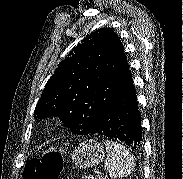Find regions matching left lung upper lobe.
<instances>
[{"label": "left lung upper lobe", "instance_id": "left-lung-upper-lobe-1", "mask_svg": "<svg viewBox=\"0 0 183 179\" xmlns=\"http://www.w3.org/2000/svg\"><path fill=\"white\" fill-rule=\"evenodd\" d=\"M123 62V45L112 29L90 33L60 62L35 115L58 116L72 133L90 134L112 104Z\"/></svg>", "mask_w": 183, "mask_h": 179}]
</instances>
